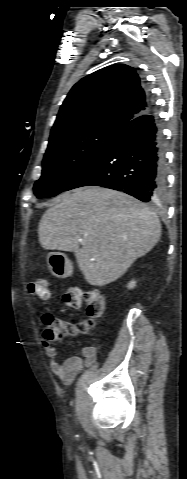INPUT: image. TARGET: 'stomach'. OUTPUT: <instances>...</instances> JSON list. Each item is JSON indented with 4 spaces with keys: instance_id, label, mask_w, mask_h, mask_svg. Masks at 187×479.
Here are the masks:
<instances>
[{
    "instance_id": "obj_1",
    "label": "stomach",
    "mask_w": 187,
    "mask_h": 479,
    "mask_svg": "<svg viewBox=\"0 0 187 479\" xmlns=\"http://www.w3.org/2000/svg\"><path fill=\"white\" fill-rule=\"evenodd\" d=\"M47 264L50 272L59 278L69 277L73 272L72 263L64 253H49L47 256Z\"/></svg>"
}]
</instances>
